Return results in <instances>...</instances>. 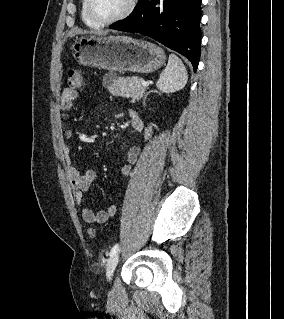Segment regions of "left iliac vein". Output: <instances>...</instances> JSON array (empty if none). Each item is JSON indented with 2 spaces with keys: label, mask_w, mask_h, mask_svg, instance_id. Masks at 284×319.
<instances>
[{
  "label": "left iliac vein",
  "mask_w": 284,
  "mask_h": 319,
  "mask_svg": "<svg viewBox=\"0 0 284 319\" xmlns=\"http://www.w3.org/2000/svg\"><path fill=\"white\" fill-rule=\"evenodd\" d=\"M119 260V253H115L113 256H111L106 265V277L110 281L113 276V272L115 270V267Z\"/></svg>",
  "instance_id": "1"
}]
</instances>
